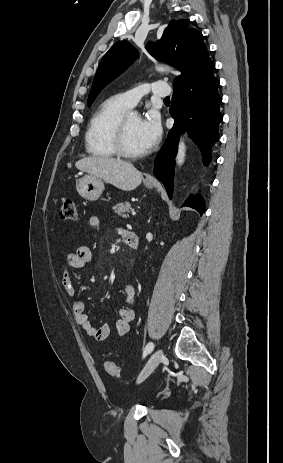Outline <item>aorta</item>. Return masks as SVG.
I'll return each mask as SVG.
<instances>
[{"mask_svg":"<svg viewBox=\"0 0 283 463\" xmlns=\"http://www.w3.org/2000/svg\"><path fill=\"white\" fill-rule=\"evenodd\" d=\"M168 69H169L168 67H160V66L156 67V70L160 72L166 71ZM185 156H186V145L184 143V140L180 139L179 145H178V152L176 155V164L181 166L185 161Z\"/></svg>","mask_w":283,"mask_h":463,"instance_id":"762f6f07","label":"aorta"}]
</instances>
